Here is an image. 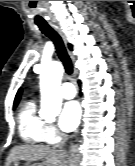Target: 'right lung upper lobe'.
I'll return each mask as SVG.
<instances>
[{
  "label": "right lung upper lobe",
  "instance_id": "right-lung-upper-lobe-1",
  "mask_svg": "<svg viewBox=\"0 0 135 166\" xmlns=\"http://www.w3.org/2000/svg\"><path fill=\"white\" fill-rule=\"evenodd\" d=\"M69 48L72 49V45L69 44ZM22 89L20 88L15 96L14 105H17L19 103L20 97H21Z\"/></svg>",
  "mask_w": 135,
  "mask_h": 166
}]
</instances>
